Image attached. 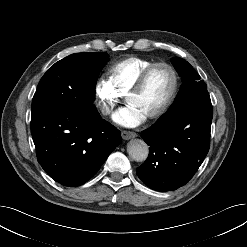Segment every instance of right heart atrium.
<instances>
[{"mask_svg":"<svg viewBox=\"0 0 247 247\" xmlns=\"http://www.w3.org/2000/svg\"><path fill=\"white\" fill-rule=\"evenodd\" d=\"M94 102L102 116H110L122 101V96L112 87L106 79L96 80L93 86Z\"/></svg>","mask_w":247,"mask_h":247,"instance_id":"obj_1","label":"right heart atrium"}]
</instances>
